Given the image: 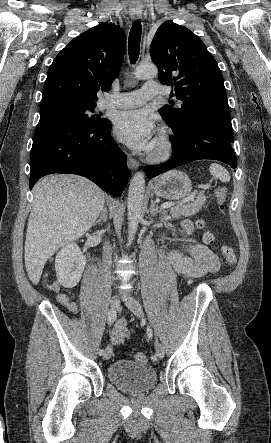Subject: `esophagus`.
I'll return each instance as SVG.
<instances>
[{"label":"esophagus","instance_id":"1","mask_svg":"<svg viewBox=\"0 0 271 443\" xmlns=\"http://www.w3.org/2000/svg\"><path fill=\"white\" fill-rule=\"evenodd\" d=\"M141 18L142 15H131L132 21H137L140 20ZM127 160H128V168L132 171L137 170V168L139 167V162L130 155H128Z\"/></svg>","mask_w":271,"mask_h":443}]
</instances>
